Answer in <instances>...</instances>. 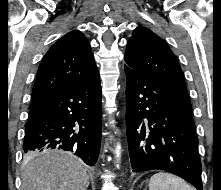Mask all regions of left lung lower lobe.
Listing matches in <instances>:
<instances>
[{"mask_svg": "<svg viewBox=\"0 0 221 190\" xmlns=\"http://www.w3.org/2000/svg\"><path fill=\"white\" fill-rule=\"evenodd\" d=\"M126 132L133 172L164 170L202 189L192 105L151 75L125 65Z\"/></svg>", "mask_w": 221, "mask_h": 190, "instance_id": "left-lung-lower-lobe-1", "label": "left lung lower lobe"}]
</instances>
